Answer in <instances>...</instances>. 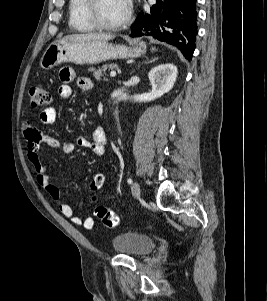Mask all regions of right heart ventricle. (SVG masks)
Instances as JSON below:
<instances>
[{"instance_id":"e07e8e85","label":"right heart ventricle","mask_w":267,"mask_h":301,"mask_svg":"<svg viewBox=\"0 0 267 301\" xmlns=\"http://www.w3.org/2000/svg\"><path fill=\"white\" fill-rule=\"evenodd\" d=\"M88 0H69V26L76 32L89 33L97 28L87 15Z\"/></svg>"}]
</instances>
